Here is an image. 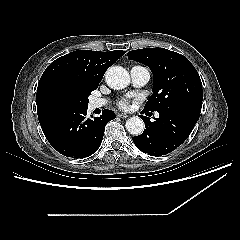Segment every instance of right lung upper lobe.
<instances>
[{"instance_id": "1", "label": "right lung upper lobe", "mask_w": 240, "mask_h": 240, "mask_svg": "<svg viewBox=\"0 0 240 240\" xmlns=\"http://www.w3.org/2000/svg\"><path fill=\"white\" fill-rule=\"evenodd\" d=\"M124 54L125 51L122 50L110 52L78 50L53 61L42 74L37 87L39 122L68 108L57 95L61 86L98 87L106 70Z\"/></svg>"}]
</instances>
